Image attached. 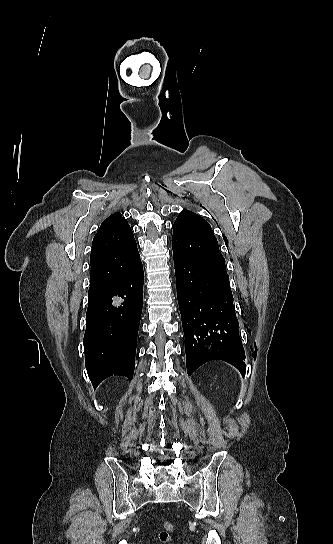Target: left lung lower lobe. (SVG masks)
<instances>
[{
    "mask_svg": "<svg viewBox=\"0 0 333 544\" xmlns=\"http://www.w3.org/2000/svg\"><path fill=\"white\" fill-rule=\"evenodd\" d=\"M173 256L188 374L214 359L244 374L246 356L231 289L213 272L174 252Z\"/></svg>",
    "mask_w": 333,
    "mask_h": 544,
    "instance_id": "1",
    "label": "left lung lower lobe"
}]
</instances>
